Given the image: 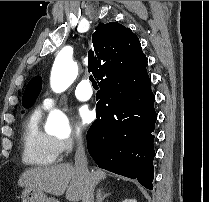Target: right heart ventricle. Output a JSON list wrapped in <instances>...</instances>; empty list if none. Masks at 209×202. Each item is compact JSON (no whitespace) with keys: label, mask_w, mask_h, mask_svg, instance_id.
<instances>
[{"label":"right heart ventricle","mask_w":209,"mask_h":202,"mask_svg":"<svg viewBox=\"0 0 209 202\" xmlns=\"http://www.w3.org/2000/svg\"><path fill=\"white\" fill-rule=\"evenodd\" d=\"M42 111L36 110L22 130V160L27 165L49 166L59 160L57 139L41 127Z\"/></svg>","instance_id":"1"}]
</instances>
